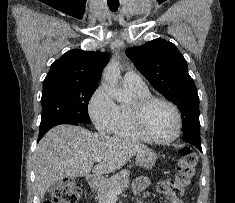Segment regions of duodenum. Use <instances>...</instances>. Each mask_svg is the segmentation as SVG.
<instances>
[{
    "label": "duodenum",
    "mask_w": 235,
    "mask_h": 203,
    "mask_svg": "<svg viewBox=\"0 0 235 203\" xmlns=\"http://www.w3.org/2000/svg\"><path fill=\"white\" fill-rule=\"evenodd\" d=\"M98 183V180L95 176H88L86 179V185L88 188H94Z\"/></svg>",
    "instance_id": "410a0bca"
}]
</instances>
